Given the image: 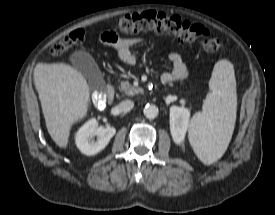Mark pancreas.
I'll return each instance as SVG.
<instances>
[{
  "mask_svg": "<svg viewBox=\"0 0 275 215\" xmlns=\"http://www.w3.org/2000/svg\"><path fill=\"white\" fill-rule=\"evenodd\" d=\"M120 90L128 96H133L135 94L142 93L141 88H136L135 86L131 85L128 81L121 82Z\"/></svg>",
  "mask_w": 275,
  "mask_h": 215,
  "instance_id": "pancreas-1",
  "label": "pancreas"
}]
</instances>
